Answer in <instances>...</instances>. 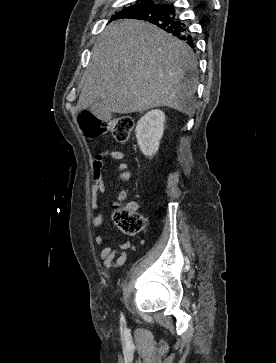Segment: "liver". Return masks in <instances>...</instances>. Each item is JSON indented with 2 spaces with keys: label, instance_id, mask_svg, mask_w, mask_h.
I'll return each instance as SVG.
<instances>
[{
  "label": "liver",
  "instance_id": "1",
  "mask_svg": "<svg viewBox=\"0 0 276 363\" xmlns=\"http://www.w3.org/2000/svg\"><path fill=\"white\" fill-rule=\"evenodd\" d=\"M197 65L186 43L157 26L134 19L117 21L92 48L76 110L100 98L106 111L117 114L167 106L190 115Z\"/></svg>",
  "mask_w": 276,
  "mask_h": 363
}]
</instances>
